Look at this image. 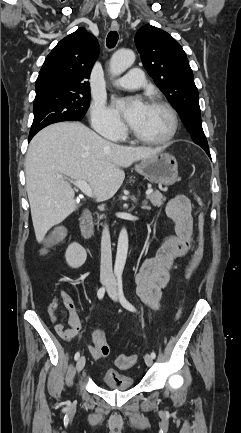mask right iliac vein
<instances>
[{"mask_svg": "<svg viewBox=\"0 0 241 433\" xmlns=\"http://www.w3.org/2000/svg\"><path fill=\"white\" fill-rule=\"evenodd\" d=\"M85 362H86V359H85L84 356H81L78 359L77 364H76V369H77L78 372H80L84 368Z\"/></svg>", "mask_w": 241, "mask_h": 433, "instance_id": "right-iliac-vein-1", "label": "right iliac vein"}]
</instances>
